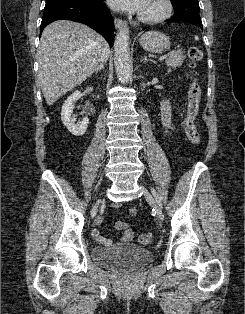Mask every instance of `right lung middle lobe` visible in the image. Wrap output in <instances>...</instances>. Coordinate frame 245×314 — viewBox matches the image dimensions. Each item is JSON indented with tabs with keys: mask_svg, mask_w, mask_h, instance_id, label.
Segmentation results:
<instances>
[{
	"mask_svg": "<svg viewBox=\"0 0 245 314\" xmlns=\"http://www.w3.org/2000/svg\"><path fill=\"white\" fill-rule=\"evenodd\" d=\"M85 1H95V0H85Z\"/></svg>",
	"mask_w": 245,
	"mask_h": 314,
	"instance_id": "obj_1",
	"label": "right lung middle lobe"
}]
</instances>
